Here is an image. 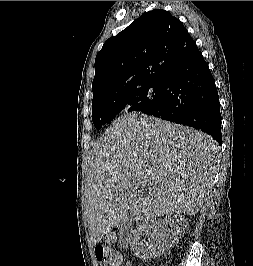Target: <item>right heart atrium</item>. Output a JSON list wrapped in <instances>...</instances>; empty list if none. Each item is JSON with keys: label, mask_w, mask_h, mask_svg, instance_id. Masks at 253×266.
<instances>
[{"label": "right heart atrium", "mask_w": 253, "mask_h": 266, "mask_svg": "<svg viewBox=\"0 0 253 266\" xmlns=\"http://www.w3.org/2000/svg\"><path fill=\"white\" fill-rule=\"evenodd\" d=\"M129 107H130V105H125V106L123 107V109L126 110V109H128Z\"/></svg>", "instance_id": "right-heart-atrium-1"}]
</instances>
